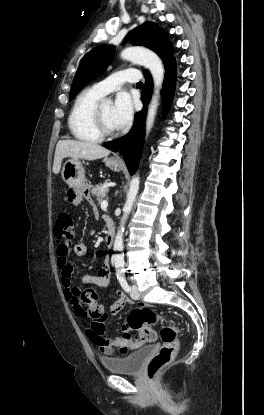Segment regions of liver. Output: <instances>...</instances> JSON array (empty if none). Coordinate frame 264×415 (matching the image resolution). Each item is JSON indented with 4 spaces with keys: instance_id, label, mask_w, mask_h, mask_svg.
Segmentation results:
<instances>
[{
    "instance_id": "liver-1",
    "label": "liver",
    "mask_w": 264,
    "mask_h": 415,
    "mask_svg": "<svg viewBox=\"0 0 264 415\" xmlns=\"http://www.w3.org/2000/svg\"><path fill=\"white\" fill-rule=\"evenodd\" d=\"M109 154V149L96 143L77 140H60L57 143L55 150L53 172L55 174L60 172L62 160L66 157L72 159L97 160L102 157H107Z\"/></svg>"
}]
</instances>
